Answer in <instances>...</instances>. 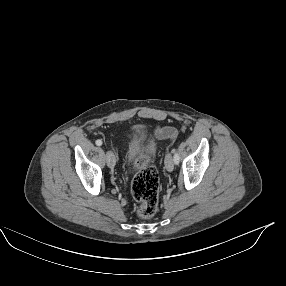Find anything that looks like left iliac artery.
Wrapping results in <instances>:
<instances>
[{
	"label": "left iliac artery",
	"instance_id": "obj_1",
	"mask_svg": "<svg viewBox=\"0 0 286 286\" xmlns=\"http://www.w3.org/2000/svg\"><path fill=\"white\" fill-rule=\"evenodd\" d=\"M172 153L174 154V163L175 164H178L179 163V155L177 153V150L176 149H173L172 150Z\"/></svg>",
	"mask_w": 286,
	"mask_h": 286
}]
</instances>
